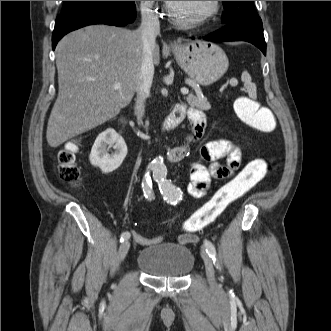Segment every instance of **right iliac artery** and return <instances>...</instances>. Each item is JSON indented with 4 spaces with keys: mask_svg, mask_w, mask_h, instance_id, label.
Here are the masks:
<instances>
[{
    "mask_svg": "<svg viewBox=\"0 0 331 331\" xmlns=\"http://www.w3.org/2000/svg\"><path fill=\"white\" fill-rule=\"evenodd\" d=\"M142 188H143L145 198H147L148 200L153 199L152 180H151L149 170H147V172L144 175V178L142 181ZM129 238H130V233L128 231L123 232L120 236V242H123Z\"/></svg>",
    "mask_w": 331,
    "mask_h": 331,
    "instance_id": "right-iliac-artery-1",
    "label": "right iliac artery"
}]
</instances>
